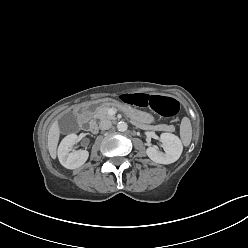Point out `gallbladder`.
Segmentation results:
<instances>
[{"mask_svg":"<svg viewBox=\"0 0 248 248\" xmlns=\"http://www.w3.org/2000/svg\"><path fill=\"white\" fill-rule=\"evenodd\" d=\"M66 117L68 118V122H63L61 124V128L65 131L76 129L78 127L77 122L74 118V115L72 113H67Z\"/></svg>","mask_w":248,"mask_h":248,"instance_id":"obj_1","label":"gallbladder"}]
</instances>
